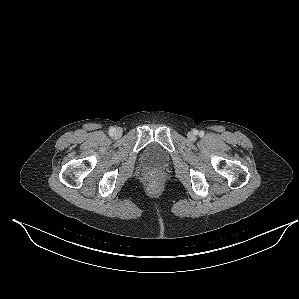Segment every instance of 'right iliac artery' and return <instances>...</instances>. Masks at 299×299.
Masks as SVG:
<instances>
[{
	"label": "right iliac artery",
	"instance_id": "82829eb1",
	"mask_svg": "<svg viewBox=\"0 0 299 299\" xmlns=\"http://www.w3.org/2000/svg\"><path fill=\"white\" fill-rule=\"evenodd\" d=\"M116 132V129L114 127H111L109 130L110 135H113Z\"/></svg>",
	"mask_w": 299,
	"mask_h": 299
}]
</instances>
